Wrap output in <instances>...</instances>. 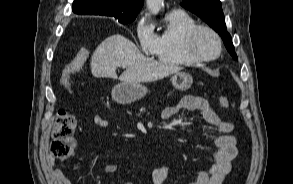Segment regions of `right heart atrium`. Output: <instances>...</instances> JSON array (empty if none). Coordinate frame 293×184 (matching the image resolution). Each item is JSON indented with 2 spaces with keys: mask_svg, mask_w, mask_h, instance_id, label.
Segmentation results:
<instances>
[{
  "mask_svg": "<svg viewBox=\"0 0 293 184\" xmlns=\"http://www.w3.org/2000/svg\"><path fill=\"white\" fill-rule=\"evenodd\" d=\"M135 34L141 50L145 54H153L156 46V33L147 16H141L135 24Z\"/></svg>",
  "mask_w": 293,
  "mask_h": 184,
  "instance_id": "d8ad5b80",
  "label": "right heart atrium"
}]
</instances>
